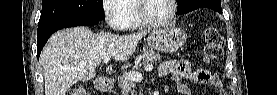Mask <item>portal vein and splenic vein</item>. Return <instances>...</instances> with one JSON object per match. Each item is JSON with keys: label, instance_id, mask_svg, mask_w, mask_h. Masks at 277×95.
<instances>
[{"label": "portal vein and splenic vein", "instance_id": "obj_1", "mask_svg": "<svg viewBox=\"0 0 277 95\" xmlns=\"http://www.w3.org/2000/svg\"><path fill=\"white\" fill-rule=\"evenodd\" d=\"M110 58H105L103 60V62L105 64H107L109 62ZM153 69V65L152 64H148L145 66V71H151ZM128 78L132 81H139L142 79V74L140 72L137 71H132V72H128Z\"/></svg>", "mask_w": 277, "mask_h": 95}]
</instances>
